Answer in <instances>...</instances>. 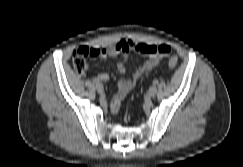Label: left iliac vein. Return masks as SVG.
<instances>
[{"label": "left iliac vein", "mask_w": 243, "mask_h": 167, "mask_svg": "<svg viewBox=\"0 0 243 167\" xmlns=\"http://www.w3.org/2000/svg\"><path fill=\"white\" fill-rule=\"evenodd\" d=\"M156 93H157V88H156V86H151V87L149 88V90H148V95H149L150 97H154V96L156 95Z\"/></svg>", "instance_id": "left-iliac-vein-1"}]
</instances>
